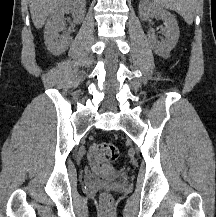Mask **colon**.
Listing matches in <instances>:
<instances>
[{"mask_svg":"<svg viewBox=\"0 0 216 217\" xmlns=\"http://www.w3.org/2000/svg\"><path fill=\"white\" fill-rule=\"evenodd\" d=\"M95 154L101 163L110 167H112L119 159V150L117 146L108 140L99 141L95 145ZM100 200L103 204H109L112 201V197L109 193L103 192L100 196Z\"/></svg>","mask_w":216,"mask_h":217,"instance_id":"5ec220e1","label":"colon"}]
</instances>
